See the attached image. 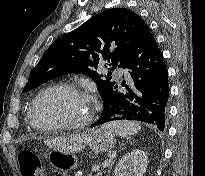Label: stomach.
I'll return each mask as SVG.
<instances>
[{
	"mask_svg": "<svg viewBox=\"0 0 205 176\" xmlns=\"http://www.w3.org/2000/svg\"><path fill=\"white\" fill-rule=\"evenodd\" d=\"M116 142L113 131L100 127L91 131L89 146L95 153H103L111 150ZM50 165L59 171H71L78 165V159L73 152L53 149L48 155Z\"/></svg>",
	"mask_w": 205,
	"mask_h": 176,
	"instance_id": "1",
	"label": "stomach"
}]
</instances>
